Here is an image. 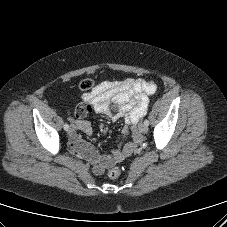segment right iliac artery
Wrapping results in <instances>:
<instances>
[{"mask_svg":"<svg viewBox=\"0 0 227 227\" xmlns=\"http://www.w3.org/2000/svg\"><path fill=\"white\" fill-rule=\"evenodd\" d=\"M69 129V125L67 123L64 124V130H68Z\"/></svg>","mask_w":227,"mask_h":227,"instance_id":"right-iliac-artery-1","label":"right iliac artery"}]
</instances>
